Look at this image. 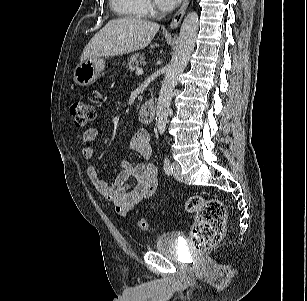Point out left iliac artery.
<instances>
[{
	"label": "left iliac artery",
	"instance_id": "1",
	"mask_svg": "<svg viewBox=\"0 0 307 301\" xmlns=\"http://www.w3.org/2000/svg\"><path fill=\"white\" fill-rule=\"evenodd\" d=\"M163 168L167 175H171L173 172L172 164L167 156L164 157Z\"/></svg>",
	"mask_w": 307,
	"mask_h": 301
}]
</instances>
